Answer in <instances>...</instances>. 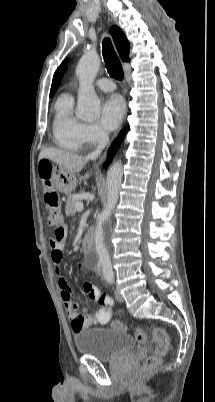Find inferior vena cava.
<instances>
[{"mask_svg": "<svg viewBox=\"0 0 215 402\" xmlns=\"http://www.w3.org/2000/svg\"><path fill=\"white\" fill-rule=\"evenodd\" d=\"M109 142V136L108 133L105 131H100L99 137H98V146L95 151L87 155V159L95 160L98 158V156L101 154L102 150L106 147V145Z\"/></svg>", "mask_w": 215, "mask_h": 402, "instance_id": "1", "label": "inferior vena cava"}]
</instances>
